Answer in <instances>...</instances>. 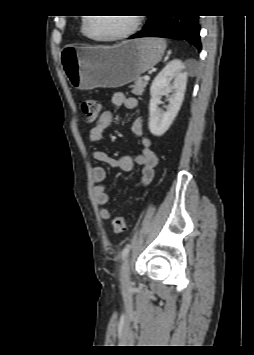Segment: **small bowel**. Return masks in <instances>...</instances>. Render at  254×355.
<instances>
[{
    "instance_id": "small-bowel-1",
    "label": "small bowel",
    "mask_w": 254,
    "mask_h": 355,
    "mask_svg": "<svg viewBox=\"0 0 254 355\" xmlns=\"http://www.w3.org/2000/svg\"><path fill=\"white\" fill-rule=\"evenodd\" d=\"M111 103L116 107H125L135 109L138 105L136 98L128 97L122 92H116L111 97ZM113 115L110 111H104L98 117L94 125L89 130V140L92 143H98L105 130L111 125ZM132 132L139 139L141 152L136 157L124 155L120 157H111L105 152L96 149L93 153L98 161L105 162L124 172H130L137 165L140 167V184H149L153 177L155 168L158 164V157L153 150L151 140L145 135L144 125L141 119H137L132 124ZM92 178L96 185L93 188L96 203L100 206L99 215L102 219H108L111 215L106 207L109 202V195L103 182L106 179V170L103 167L96 166L92 168Z\"/></svg>"
}]
</instances>
